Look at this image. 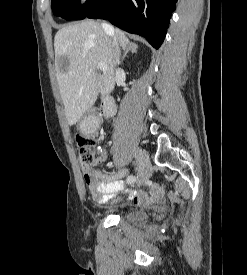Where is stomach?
<instances>
[{"label":"stomach","instance_id":"stomach-1","mask_svg":"<svg viewBox=\"0 0 247 275\" xmlns=\"http://www.w3.org/2000/svg\"><path fill=\"white\" fill-rule=\"evenodd\" d=\"M79 128H80V130H82V131H86V130H87V127H86V125H85L84 122H81V123L79 124Z\"/></svg>","mask_w":247,"mask_h":275}]
</instances>
